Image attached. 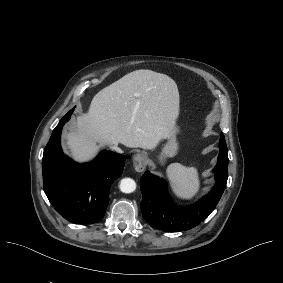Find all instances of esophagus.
Listing matches in <instances>:
<instances>
[{
    "label": "esophagus",
    "mask_w": 283,
    "mask_h": 283,
    "mask_svg": "<svg viewBox=\"0 0 283 283\" xmlns=\"http://www.w3.org/2000/svg\"><path fill=\"white\" fill-rule=\"evenodd\" d=\"M133 165L137 172H142L147 166V156L137 153L133 156Z\"/></svg>",
    "instance_id": "esophagus-1"
}]
</instances>
